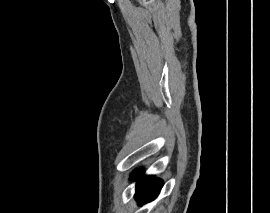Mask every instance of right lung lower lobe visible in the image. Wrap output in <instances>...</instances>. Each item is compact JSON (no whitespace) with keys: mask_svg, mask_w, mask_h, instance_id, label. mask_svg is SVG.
<instances>
[{"mask_svg":"<svg viewBox=\"0 0 270 213\" xmlns=\"http://www.w3.org/2000/svg\"><path fill=\"white\" fill-rule=\"evenodd\" d=\"M133 177L138 179L135 197L139 204L150 202L157 197L163 185L162 180L152 176H141L139 170L134 172Z\"/></svg>","mask_w":270,"mask_h":213,"instance_id":"1","label":"right lung lower lobe"}]
</instances>
